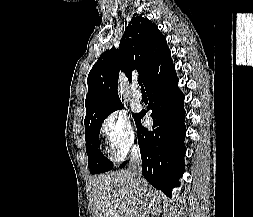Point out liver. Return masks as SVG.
<instances>
[{"label":"liver","mask_w":253,"mask_h":217,"mask_svg":"<svg viewBox=\"0 0 253 217\" xmlns=\"http://www.w3.org/2000/svg\"><path fill=\"white\" fill-rule=\"evenodd\" d=\"M90 206L93 217H141L157 210L155 190L144 179L138 184L129 170L92 178ZM142 188V193H137Z\"/></svg>","instance_id":"obj_1"}]
</instances>
